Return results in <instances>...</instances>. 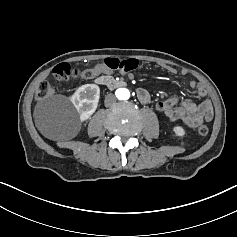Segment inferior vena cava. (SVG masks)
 Listing matches in <instances>:
<instances>
[{
    "label": "inferior vena cava",
    "instance_id": "602c4592",
    "mask_svg": "<svg viewBox=\"0 0 237 237\" xmlns=\"http://www.w3.org/2000/svg\"><path fill=\"white\" fill-rule=\"evenodd\" d=\"M116 102V96L114 94H108L105 98V105L109 106Z\"/></svg>",
    "mask_w": 237,
    "mask_h": 237
}]
</instances>
